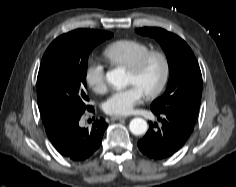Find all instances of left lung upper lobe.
Here are the masks:
<instances>
[{
	"mask_svg": "<svg viewBox=\"0 0 236 187\" xmlns=\"http://www.w3.org/2000/svg\"><path fill=\"white\" fill-rule=\"evenodd\" d=\"M136 32L155 38L166 53L170 78L165 93L153 101L151 110L171 113L195 123L202 95L198 62L184 40L161 28L144 27Z\"/></svg>",
	"mask_w": 236,
	"mask_h": 187,
	"instance_id": "1",
	"label": "left lung upper lobe"
}]
</instances>
